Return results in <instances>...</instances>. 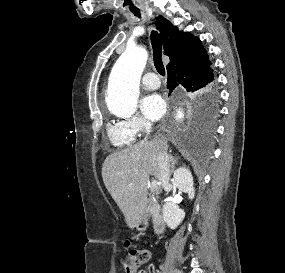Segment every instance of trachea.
Wrapping results in <instances>:
<instances>
[{
	"instance_id": "obj_1",
	"label": "trachea",
	"mask_w": 285,
	"mask_h": 273,
	"mask_svg": "<svg viewBox=\"0 0 285 273\" xmlns=\"http://www.w3.org/2000/svg\"><path fill=\"white\" fill-rule=\"evenodd\" d=\"M135 16L141 17L140 12H133ZM151 43L153 47L154 65L158 73L162 76L165 75V68L162 62V40L156 31L151 32Z\"/></svg>"
}]
</instances>
